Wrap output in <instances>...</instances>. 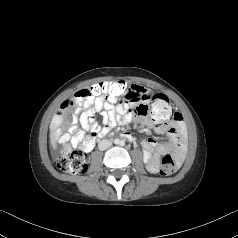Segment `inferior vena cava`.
Here are the masks:
<instances>
[{
  "mask_svg": "<svg viewBox=\"0 0 238 238\" xmlns=\"http://www.w3.org/2000/svg\"><path fill=\"white\" fill-rule=\"evenodd\" d=\"M112 145V142L110 140H102L98 144V148L101 151H104L108 149Z\"/></svg>",
  "mask_w": 238,
  "mask_h": 238,
  "instance_id": "1",
  "label": "inferior vena cava"
}]
</instances>
